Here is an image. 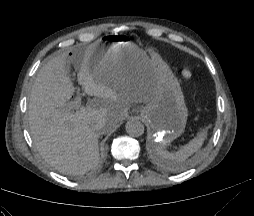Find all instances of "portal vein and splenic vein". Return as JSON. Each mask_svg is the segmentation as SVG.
<instances>
[{"label":"portal vein and splenic vein","instance_id":"1","mask_svg":"<svg viewBox=\"0 0 254 216\" xmlns=\"http://www.w3.org/2000/svg\"><path fill=\"white\" fill-rule=\"evenodd\" d=\"M68 110L75 109L76 111L81 108V98L77 97L74 101L69 102L67 105Z\"/></svg>","mask_w":254,"mask_h":216}]
</instances>
